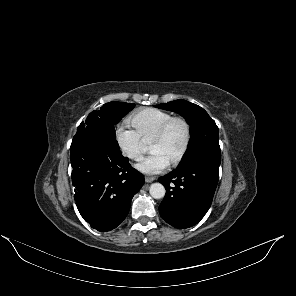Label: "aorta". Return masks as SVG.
Segmentation results:
<instances>
[{
    "label": "aorta",
    "instance_id": "1",
    "mask_svg": "<svg viewBox=\"0 0 296 296\" xmlns=\"http://www.w3.org/2000/svg\"><path fill=\"white\" fill-rule=\"evenodd\" d=\"M165 188L161 183H153L150 186L149 193L154 199H161L165 196Z\"/></svg>",
    "mask_w": 296,
    "mask_h": 296
}]
</instances>
